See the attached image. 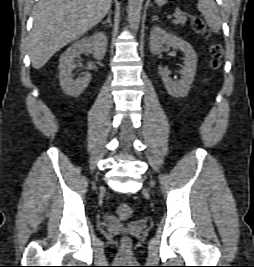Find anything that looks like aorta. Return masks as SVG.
Here are the masks:
<instances>
[{
  "mask_svg": "<svg viewBox=\"0 0 254 267\" xmlns=\"http://www.w3.org/2000/svg\"><path fill=\"white\" fill-rule=\"evenodd\" d=\"M143 2L144 0H128V22L130 28L135 32H137L139 29Z\"/></svg>",
  "mask_w": 254,
  "mask_h": 267,
  "instance_id": "1",
  "label": "aorta"
}]
</instances>
